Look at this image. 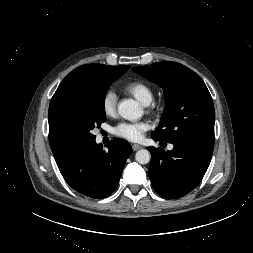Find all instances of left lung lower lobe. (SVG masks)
Wrapping results in <instances>:
<instances>
[{
	"label": "left lung lower lobe",
	"instance_id": "left-lung-lower-lobe-1",
	"mask_svg": "<svg viewBox=\"0 0 253 253\" xmlns=\"http://www.w3.org/2000/svg\"><path fill=\"white\" fill-rule=\"evenodd\" d=\"M172 144L174 148L167 152L148 147L151 153L149 177L160 196L175 199L188 194L200 183L210 164L213 150L190 142Z\"/></svg>",
	"mask_w": 253,
	"mask_h": 253
}]
</instances>
